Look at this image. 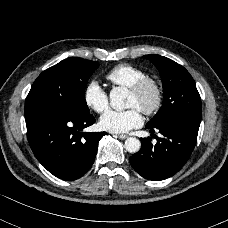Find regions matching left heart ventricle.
<instances>
[{"mask_svg": "<svg viewBox=\"0 0 228 228\" xmlns=\"http://www.w3.org/2000/svg\"><path fill=\"white\" fill-rule=\"evenodd\" d=\"M154 99V92L152 88L146 90L142 97H137L129 92L128 106L139 108L142 104H149Z\"/></svg>", "mask_w": 228, "mask_h": 228, "instance_id": "b2bd125f", "label": "left heart ventricle"}]
</instances>
